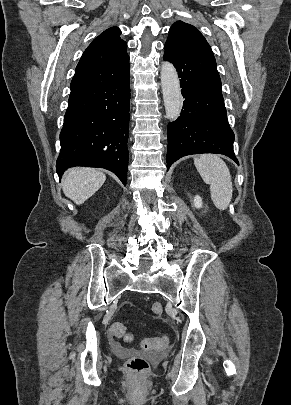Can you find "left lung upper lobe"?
Masks as SVG:
<instances>
[{
	"instance_id": "1",
	"label": "left lung upper lobe",
	"mask_w": 291,
	"mask_h": 405,
	"mask_svg": "<svg viewBox=\"0 0 291 405\" xmlns=\"http://www.w3.org/2000/svg\"><path fill=\"white\" fill-rule=\"evenodd\" d=\"M167 41L178 43L194 51L213 55L209 44L200 31L182 21H178L171 26Z\"/></svg>"
}]
</instances>
